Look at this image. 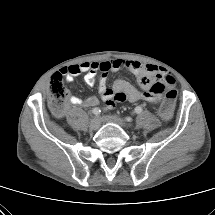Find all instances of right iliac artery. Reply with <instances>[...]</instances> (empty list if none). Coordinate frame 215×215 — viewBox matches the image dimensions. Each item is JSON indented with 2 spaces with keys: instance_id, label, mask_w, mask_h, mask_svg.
Segmentation results:
<instances>
[{
  "instance_id": "obj_1",
  "label": "right iliac artery",
  "mask_w": 215,
  "mask_h": 215,
  "mask_svg": "<svg viewBox=\"0 0 215 215\" xmlns=\"http://www.w3.org/2000/svg\"><path fill=\"white\" fill-rule=\"evenodd\" d=\"M100 112H101V110H100L99 108H94V109L92 110V113H93L94 115H96V116H98V115L100 114Z\"/></svg>"
}]
</instances>
